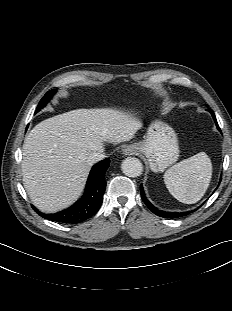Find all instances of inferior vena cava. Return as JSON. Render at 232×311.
I'll return each instance as SVG.
<instances>
[{
	"instance_id": "602c4592",
	"label": "inferior vena cava",
	"mask_w": 232,
	"mask_h": 311,
	"mask_svg": "<svg viewBox=\"0 0 232 311\" xmlns=\"http://www.w3.org/2000/svg\"><path fill=\"white\" fill-rule=\"evenodd\" d=\"M106 157L103 151L93 152L87 157V162L89 165H93L94 163L104 159Z\"/></svg>"
}]
</instances>
